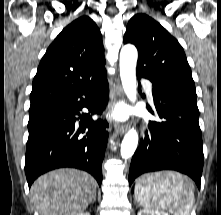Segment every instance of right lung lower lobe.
<instances>
[{"label": "right lung lower lobe", "instance_id": "1", "mask_svg": "<svg viewBox=\"0 0 221 215\" xmlns=\"http://www.w3.org/2000/svg\"><path fill=\"white\" fill-rule=\"evenodd\" d=\"M108 93L105 75L74 94L29 111L25 160L29 187L41 174L61 167L85 170L101 185L108 124L101 119L93 121L89 114L81 116L79 111L86 107L91 114H101ZM76 116H81L79 122Z\"/></svg>", "mask_w": 221, "mask_h": 215}]
</instances>
